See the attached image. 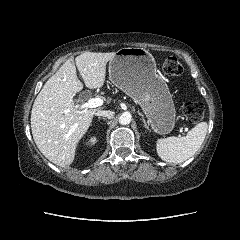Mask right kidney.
Listing matches in <instances>:
<instances>
[{
	"label": "right kidney",
	"mask_w": 240,
	"mask_h": 240,
	"mask_svg": "<svg viewBox=\"0 0 240 240\" xmlns=\"http://www.w3.org/2000/svg\"><path fill=\"white\" fill-rule=\"evenodd\" d=\"M90 142H91L92 144H94V143L96 142V139H95V138H91Z\"/></svg>",
	"instance_id": "right-kidney-1"
}]
</instances>
